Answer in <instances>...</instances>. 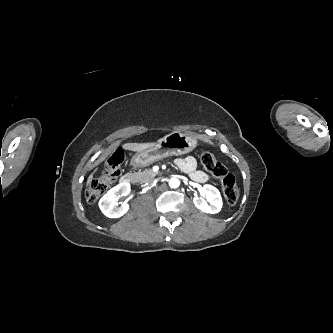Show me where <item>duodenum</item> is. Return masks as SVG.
<instances>
[{
	"instance_id": "410a0bca",
	"label": "duodenum",
	"mask_w": 333,
	"mask_h": 333,
	"mask_svg": "<svg viewBox=\"0 0 333 333\" xmlns=\"http://www.w3.org/2000/svg\"><path fill=\"white\" fill-rule=\"evenodd\" d=\"M134 174L132 173H126L125 175H123L121 178H120V182L125 184V183H131L134 181Z\"/></svg>"
}]
</instances>
